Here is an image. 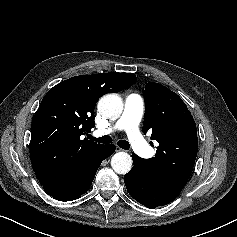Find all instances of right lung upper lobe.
<instances>
[{"label": "right lung upper lobe", "mask_w": 237, "mask_h": 237, "mask_svg": "<svg viewBox=\"0 0 237 237\" xmlns=\"http://www.w3.org/2000/svg\"><path fill=\"white\" fill-rule=\"evenodd\" d=\"M135 81L133 73H99L72 77L48 91L31 126L30 159L41 184L63 182L78 158L101 146L80 138L94 127L95 104Z\"/></svg>", "instance_id": "cb5924a9"}]
</instances>
